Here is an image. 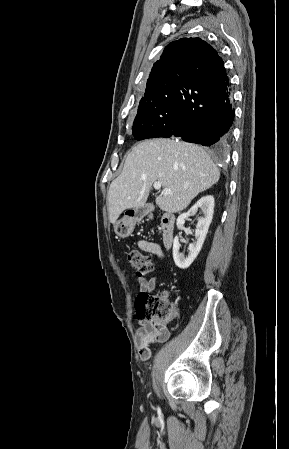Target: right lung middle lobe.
Here are the masks:
<instances>
[{"label": "right lung middle lobe", "mask_w": 289, "mask_h": 449, "mask_svg": "<svg viewBox=\"0 0 289 449\" xmlns=\"http://www.w3.org/2000/svg\"><path fill=\"white\" fill-rule=\"evenodd\" d=\"M176 91L167 90L145 96L141 99L132 127L136 140L151 138L177 116Z\"/></svg>", "instance_id": "1"}]
</instances>
